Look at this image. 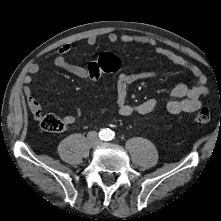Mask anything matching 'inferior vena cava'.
Masks as SVG:
<instances>
[{"mask_svg": "<svg viewBox=\"0 0 221 221\" xmlns=\"http://www.w3.org/2000/svg\"><path fill=\"white\" fill-rule=\"evenodd\" d=\"M90 137V140L93 144H98L99 143V138L98 136L96 135V133H94L92 136H89Z\"/></svg>", "mask_w": 221, "mask_h": 221, "instance_id": "obj_1", "label": "inferior vena cava"}]
</instances>
